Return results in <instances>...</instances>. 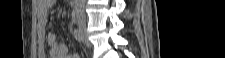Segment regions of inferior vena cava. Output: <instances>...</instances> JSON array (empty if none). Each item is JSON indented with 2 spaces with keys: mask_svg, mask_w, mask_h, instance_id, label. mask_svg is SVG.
<instances>
[{
  "mask_svg": "<svg viewBox=\"0 0 225 58\" xmlns=\"http://www.w3.org/2000/svg\"><path fill=\"white\" fill-rule=\"evenodd\" d=\"M83 3H84V0L77 1V15H79L82 18H85Z\"/></svg>",
  "mask_w": 225,
  "mask_h": 58,
  "instance_id": "602c4592",
  "label": "inferior vena cava"
}]
</instances>
